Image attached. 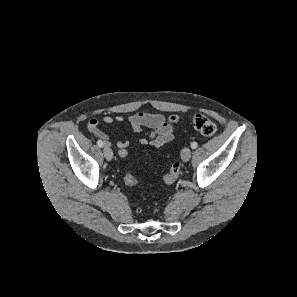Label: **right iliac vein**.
Here are the masks:
<instances>
[{
    "label": "right iliac vein",
    "instance_id": "right-iliac-vein-1",
    "mask_svg": "<svg viewBox=\"0 0 297 297\" xmlns=\"http://www.w3.org/2000/svg\"><path fill=\"white\" fill-rule=\"evenodd\" d=\"M103 152H104L105 158L108 161H111L112 158H113V151H112V149L110 147H108V146H105L104 149H103Z\"/></svg>",
    "mask_w": 297,
    "mask_h": 297
}]
</instances>
